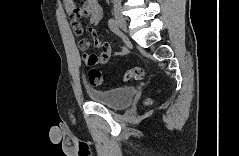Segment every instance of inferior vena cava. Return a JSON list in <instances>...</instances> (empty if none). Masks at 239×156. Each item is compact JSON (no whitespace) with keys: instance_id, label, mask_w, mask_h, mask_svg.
<instances>
[{"instance_id":"obj_1","label":"inferior vena cava","mask_w":239,"mask_h":156,"mask_svg":"<svg viewBox=\"0 0 239 156\" xmlns=\"http://www.w3.org/2000/svg\"><path fill=\"white\" fill-rule=\"evenodd\" d=\"M114 2H120V0H114Z\"/></svg>"}]
</instances>
